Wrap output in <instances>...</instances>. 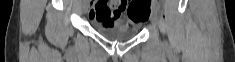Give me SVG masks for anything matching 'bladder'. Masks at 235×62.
Instances as JSON below:
<instances>
[{
    "mask_svg": "<svg viewBox=\"0 0 235 62\" xmlns=\"http://www.w3.org/2000/svg\"><path fill=\"white\" fill-rule=\"evenodd\" d=\"M95 30L98 34L110 41L123 42L134 38L138 33V26H115L104 27L96 26Z\"/></svg>",
    "mask_w": 235,
    "mask_h": 62,
    "instance_id": "bladder-1",
    "label": "bladder"
}]
</instances>
